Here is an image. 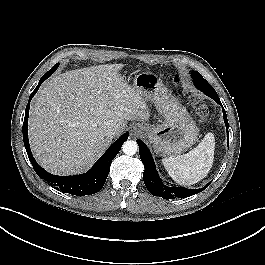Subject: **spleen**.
Instances as JSON below:
<instances>
[{"label": "spleen", "mask_w": 265, "mask_h": 265, "mask_svg": "<svg viewBox=\"0 0 265 265\" xmlns=\"http://www.w3.org/2000/svg\"><path fill=\"white\" fill-rule=\"evenodd\" d=\"M215 139L207 133L201 143L189 153L175 158H163L162 163L172 179L182 185L201 181L209 173L214 160Z\"/></svg>", "instance_id": "3e777b00"}]
</instances>
